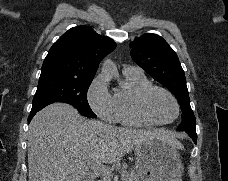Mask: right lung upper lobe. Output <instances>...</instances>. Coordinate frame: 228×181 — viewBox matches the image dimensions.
Here are the masks:
<instances>
[{"label":"right lung upper lobe","instance_id":"right-lung-upper-lobe-1","mask_svg":"<svg viewBox=\"0 0 228 181\" xmlns=\"http://www.w3.org/2000/svg\"><path fill=\"white\" fill-rule=\"evenodd\" d=\"M116 47L109 37L89 26H77L63 34L50 48L40 77L93 80L100 61Z\"/></svg>","mask_w":228,"mask_h":181}]
</instances>
